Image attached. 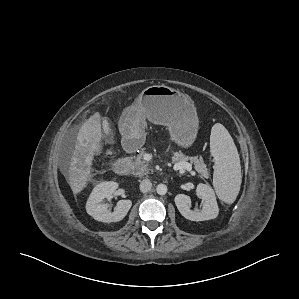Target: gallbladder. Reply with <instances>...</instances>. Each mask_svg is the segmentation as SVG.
Here are the masks:
<instances>
[{
    "instance_id": "1",
    "label": "gallbladder",
    "mask_w": 299,
    "mask_h": 299,
    "mask_svg": "<svg viewBox=\"0 0 299 299\" xmlns=\"http://www.w3.org/2000/svg\"><path fill=\"white\" fill-rule=\"evenodd\" d=\"M104 121H105V124L103 127V136L105 138H107V142H112L113 133L111 131L110 124L107 120H104Z\"/></svg>"
}]
</instances>
